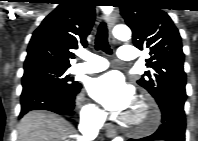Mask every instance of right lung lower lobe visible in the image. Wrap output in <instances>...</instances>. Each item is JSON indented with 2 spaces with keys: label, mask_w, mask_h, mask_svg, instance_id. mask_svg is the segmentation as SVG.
<instances>
[{
  "label": "right lung lower lobe",
  "mask_w": 198,
  "mask_h": 141,
  "mask_svg": "<svg viewBox=\"0 0 198 141\" xmlns=\"http://www.w3.org/2000/svg\"><path fill=\"white\" fill-rule=\"evenodd\" d=\"M80 89V84L70 91H64L50 85L23 87L19 118L32 110H48L65 117H72L75 96Z\"/></svg>",
  "instance_id": "1"
}]
</instances>
